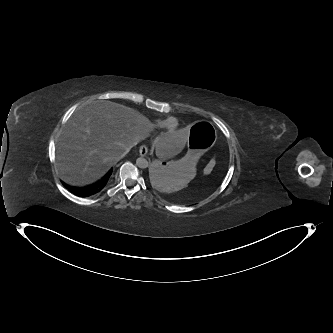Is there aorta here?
<instances>
[{
    "instance_id": "762f6f07",
    "label": "aorta",
    "mask_w": 333,
    "mask_h": 333,
    "mask_svg": "<svg viewBox=\"0 0 333 333\" xmlns=\"http://www.w3.org/2000/svg\"><path fill=\"white\" fill-rule=\"evenodd\" d=\"M136 165L139 168L145 169L148 167L149 163H148L147 159H145L144 157H139L136 160Z\"/></svg>"
}]
</instances>
